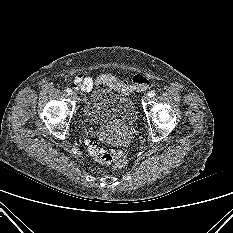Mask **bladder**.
<instances>
[{"instance_id":"31cf9c89","label":"bladder","mask_w":233,"mask_h":233,"mask_svg":"<svg viewBox=\"0 0 233 233\" xmlns=\"http://www.w3.org/2000/svg\"><path fill=\"white\" fill-rule=\"evenodd\" d=\"M133 101L110 88L95 90L83 108L84 120L95 126L131 124L136 119Z\"/></svg>"}]
</instances>
